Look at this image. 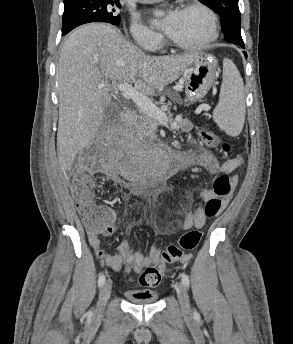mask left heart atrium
Wrapping results in <instances>:
<instances>
[{"instance_id": "1", "label": "left heart atrium", "mask_w": 293, "mask_h": 344, "mask_svg": "<svg viewBox=\"0 0 293 344\" xmlns=\"http://www.w3.org/2000/svg\"><path fill=\"white\" fill-rule=\"evenodd\" d=\"M176 14V11L168 10L162 18L154 19L153 23L164 33L169 34L173 28Z\"/></svg>"}]
</instances>
